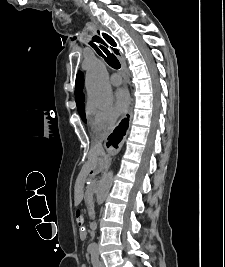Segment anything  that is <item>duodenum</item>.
Masks as SVG:
<instances>
[{
    "instance_id": "duodenum-1",
    "label": "duodenum",
    "mask_w": 225,
    "mask_h": 267,
    "mask_svg": "<svg viewBox=\"0 0 225 267\" xmlns=\"http://www.w3.org/2000/svg\"><path fill=\"white\" fill-rule=\"evenodd\" d=\"M90 228H91L92 230H95V229L97 228L96 223H95V222H92L91 225H90Z\"/></svg>"
}]
</instances>
